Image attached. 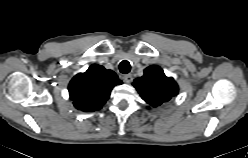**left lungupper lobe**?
Returning a JSON list of instances; mask_svg holds the SVG:
<instances>
[{
    "instance_id": "1",
    "label": "left lung upper lobe",
    "mask_w": 248,
    "mask_h": 158,
    "mask_svg": "<svg viewBox=\"0 0 248 158\" xmlns=\"http://www.w3.org/2000/svg\"><path fill=\"white\" fill-rule=\"evenodd\" d=\"M133 86L142 99L153 107L167 102L178 93V86L173 78L167 77L159 66H149L142 77L136 78Z\"/></svg>"
}]
</instances>
